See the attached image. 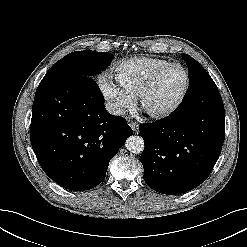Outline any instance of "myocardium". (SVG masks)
I'll list each match as a JSON object with an SVG mask.
<instances>
[{"mask_svg": "<svg viewBox=\"0 0 247 247\" xmlns=\"http://www.w3.org/2000/svg\"><path fill=\"white\" fill-rule=\"evenodd\" d=\"M173 67H178V68L182 69V71L184 73L185 83H184L182 91L180 92L178 97L175 99V101L172 104H170L168 107L161 109V110H157V111L147 110L143 105L145 96L153 88V86L157 82L158 78L165 71H167L168 69L173 68ZM189 86H190V77H189L188 70L180 63H169V64L155 70L149 76V78L140 86V88L138 89V91L135 95L136 105H137L138 109L143 114H145L146 116H148L150 118H153V119L166 118L169 115H171L172 113H174L180 107V105L182 104V102L184 101V99L187 95V92L189 90Z\"/></svg>", "mask_w": 247, "mask_h": 247, "instance_id": "f54148a6", "label": "myocardium"}]
</instances>
